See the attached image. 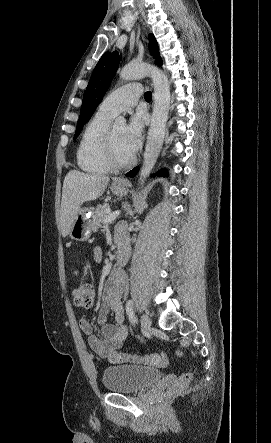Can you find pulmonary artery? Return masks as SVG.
Here are the masks:
<instances>
[{
	"instance_id": "1",
	"label": "pulmonary artery",
	"mask_w": 271,
	"mask_h": 443,
	"mask_svg": "<svg viewBox=\"0 0 271 443\" xmlns=\"http://www.w3.org/2000/svg\"><path fill=\"white\" fill-rule=\"evenodd\" d=\"M140 84L132 83L122 86L109 93L98 107V111L109 116H116L122 111L134 107L141 95Z\"/></svg>"
}]
</instances>
